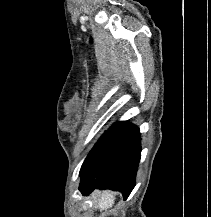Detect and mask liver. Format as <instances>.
<instances>
[{
    "label": "liver",
    "mask_w": 211,
    "mask_h": 217,
    "mask_svg": "<svg viewBox=\"0 0 211 217\" xmlns=\"http://www.w3.org/2000/svg\"><path fill=\"white\" fill-rule=\"evenodd\" d=\"M98 192L95 191L92 193V198L95 200V203L97 207L102 210H107L108 208H111L114 205L115 201V194L111 191H104L99 194V197H97Z\"/></svg>",
    "instance_id": "1"
}]
</instances>
